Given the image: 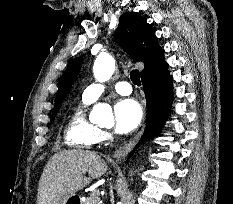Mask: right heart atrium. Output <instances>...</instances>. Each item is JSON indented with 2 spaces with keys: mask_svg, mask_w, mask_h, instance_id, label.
Returning a JSON list of instances; mask_svg holds the SVG:
<instances>
[{
  "mask_svg": "<svg viewBox=\"0 0 233 204\" xmlns=\"http://www.w3.org/2000/svg\"><path fill=\"white\" fill-rule=\"evenodd\" d=\"M112 138V135L107 131L100 132V141H107Z\"/></svg>",
  "mask_w": 233,
  "mask_h": 204,
  "instance_id": "1",
  "label": "right heart atrium"
}]
</instances>
